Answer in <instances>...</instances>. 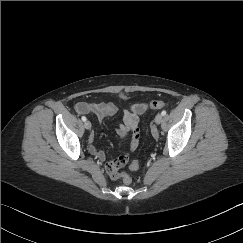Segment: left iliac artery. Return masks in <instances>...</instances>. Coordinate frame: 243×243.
Wrapping results in <instances>:
<instances>
[{"label":"left iliac artery","mask_w":243,"mask_h":243,"mask_svg":"<svg viewBox=\"0 0 243 243\" xmlns=\"http://www.w3.org/2000/svg\"><path fill=\"white\" fill-rule=\"evenodd\" d=\"M166 113H167V112H166L165 110H163V111L161 112V115H162V116H165Z\"/></svg>","instance_id":"obj_1"}]
</instances>
